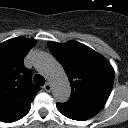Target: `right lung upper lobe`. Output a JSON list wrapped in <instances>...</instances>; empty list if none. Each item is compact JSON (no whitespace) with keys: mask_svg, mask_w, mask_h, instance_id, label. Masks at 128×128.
I'll return each instance as SVG.
<instances>
[{"mask_svg":"<svg viewBox=\"0 0 128 128\" xmlns=\"http://www.w3.org/2000/svg\"><path fill=\"white\" fill-rule=\"evenodd\" d=\"M35 40L17 37L0 44V121L31 104L40 90L23 60Z\"/></svg>","mask_w":128,"mask_h":128,"instance_id":"1","label":"right lung upper lobe"}]
</instances>
